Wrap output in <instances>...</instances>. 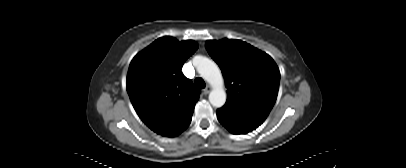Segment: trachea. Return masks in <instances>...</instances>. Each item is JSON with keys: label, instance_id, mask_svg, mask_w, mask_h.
<instances>
[{"label": "trachea", "instance_id": "1", "mask_svg": "<svg viewBox=\"0 0 406 168\" xmlns=\"http://www.w3.org/2000/svg\"><path fill=\"white\" fill-rule=\"evenodd\" d=\"M194 83H195V86L199 89H203L206 86L204 80L200 77L196 78Z\"/></svg>", "mask_w": 406, "mask_h": 168}]
</instances>
